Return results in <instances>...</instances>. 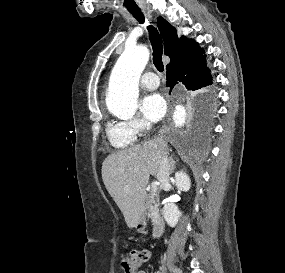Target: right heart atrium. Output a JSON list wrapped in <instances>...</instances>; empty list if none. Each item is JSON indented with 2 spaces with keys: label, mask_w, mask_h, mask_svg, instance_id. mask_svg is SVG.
I'll list each match as a JSON object with an SVG mask.
<instances>
[{
  "label": "right heart atrium",
  "mask_w": 285,
  "mask_h": 273,
  "mask_svg": "<svg viewBox=\"0 0 285 273\" xmlns=\"http://www.w3.org/2000/svg\"><path fill=\"white\" fill-rule=\"evenodd\" d=\"M123 123L127 130L135 137L144 134L149 129V124L141 118L131 119Z\"/></svg>",
  "instance_id": "obj_1"
}]
</instances>
